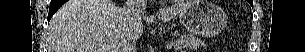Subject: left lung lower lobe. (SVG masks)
Returning <instances> with one entry per match:
<instances>
[{
  "label": "left lung lower lobe",
  "instance_id": "1",
  "mask_svg": "<svg viewBox=\"0 0 305 52\" xmlns=\"http://www.w3.org/2000/svg\"><path fill=\"white\" fill-rule=\"evenodd\" d=\"M248 2H249L251 5H253V2H252L251 0H248Z\"/></svg>",
  "mask_w": 305,
  "mask_h": 52
}]
</instances>
